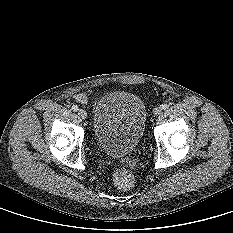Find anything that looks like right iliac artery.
<instances>
[{"label":"right iliac artery","mask_w":233,"mask_h":233,"mask_svg":"<svg viewBox=\"0 0 233 233\" xmlns=\"http://www.w3.org/2000/svg\"><path fill=\"white\" fill-rule=\"evenodd\" d=\"M71 109L76 112L79 110V107L77 105H73Z\"/></svg>","instance_id":"right-iliac-artery-1"}]
</instances>
